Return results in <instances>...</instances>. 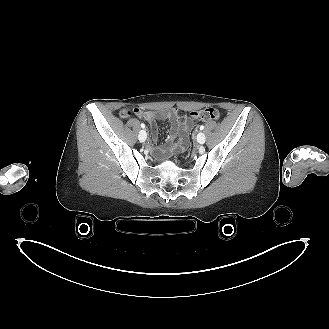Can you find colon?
I'll list each match as a JSON object with an SVG mask.
<instances>
[{
	"label": "colon",
	"instance_id": "obj_1",
	"mask_svg": "<svg viewBox=\"0 0 329 329\" xmlns=\"http://www.w3.org/2000/svg\"><path fill=\"white\" fill-rule=\"evenodd\" d=\"M128 111H123L121 113V116L123 118H127L129 116ZM191 116L199 121H210V120H217L220 118V113L217 109L215 108H205L199 111H194L191 113Z\"/></svg>",
	"mask_w": 329,
	"mask_h": 329
}]
</instances>
